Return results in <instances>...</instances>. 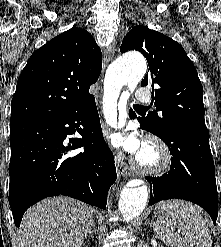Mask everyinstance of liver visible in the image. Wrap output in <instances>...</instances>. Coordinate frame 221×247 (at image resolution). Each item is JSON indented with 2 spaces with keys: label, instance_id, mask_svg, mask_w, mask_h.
<instances>
[{
  "label": "liver",
  "instance_id": "liver-1",
  "mask_svg": "<svg viewBox=\"0 0 221 247\" xmlns=\"http://www.w3.org/2000/svg\"><path fill=\"white\" fill-rule=\"evenodd\" d=\"M93 209L73 198L56 196L32 206L19 229L21 247H81Z\"/></svg>",
  "mask_w": 221,
  "mask_h": 247
}]
</instances>
